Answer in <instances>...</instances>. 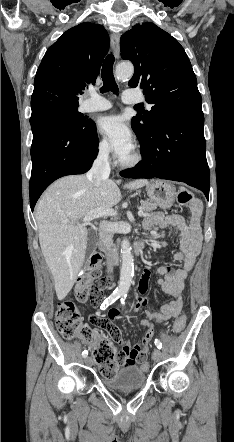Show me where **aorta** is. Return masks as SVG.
Returning a JSON list of instances; mask_svg holds the SVG:
<instances>
[{"instance_id": "762f6f07", "label": "aorta", "mask_w": 234, "mask_h": 442, "mask_svg": "<svg viewBox=\"0 0 234 442\" xmlns=\"http://www.w3.org/2000/svg\"><path fill=\"white\" fill-rule=\"evenodd\" d=\"M133 73L134 67L131 63L118 64L115 71V75L119 80L128 79ZM121 259L120 282L117 287V292L124 295L129 291L134 274L132 247L129 240L126 238H124L121 243Z\"/></svg>"}]
</instances>
